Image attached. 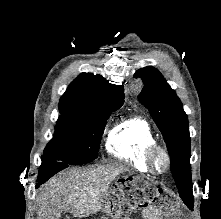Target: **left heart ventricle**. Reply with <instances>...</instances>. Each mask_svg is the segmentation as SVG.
I'll use <instances>...</instances> for the list:
<instances>
[{
  "instance_id": "left-heart-ventricle-1",
  "label": "left heart ventricle",
  "mask_w": 221,
  "mask_h": 219,
  "mask_svg": "<svg viewBox=\"0 0 221 219\" xmlns=\"http://www.w3.org/2000/svg\"><path fill=\"white\" fill-rule=\"evenodd\" d=\"M155 164L158 170H163L165 166L164 158L161 154H157L155 158Z\"/></svg>"
}]
</instances>
